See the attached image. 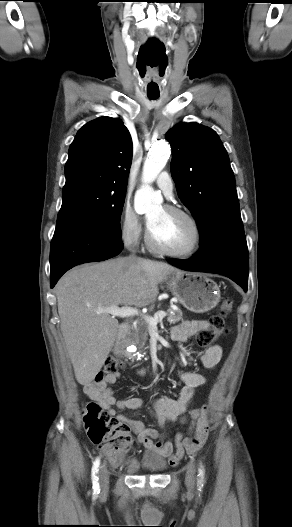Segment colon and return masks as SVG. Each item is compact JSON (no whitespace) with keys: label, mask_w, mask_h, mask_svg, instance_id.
I'll list each match as a JSON object with an SVG mask.
<instances>
[{"label":"colon","mask_w":292,"mask_h":527,"mask_svg":"<svg viewBox=\"0 0 292 527\" xmlns=\"http://www.w3.org/2000/svg\"><path fill=\"white\" fill-rule=\"evenodd\" d=\"M232 309V302L226 300L220 310L210 320V328L196 334V342L201 346H209L229 330L225 317ZM124 366L121 359L110 356L102 370L97 374L96 381H102L106 376L117 373ZM84 428L90 441L104 452L115 458H122L132 445L130 427L125 422L111 416L99 402H89L83 411Z\"/></svg>","instance_id":"5ec220e1"}]
</instances>
